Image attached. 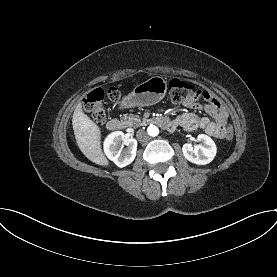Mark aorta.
<instances>
[{
    "label": "aorta",
    "instance_id": "aorta-1",
    "mask_svg": "<svg viewBox=\"0 0 277 277\" xmlns=\"http://www.w3.org/2000/svg\"><path fill=\"white\" fill-rule=\"evenodd\" d=\"M147 131H148V134L150 135V136H157L158 134H159V129H158V127H156V126H154V125H150L149 127H148V129H147Z\"/></svg>",
    "mask_w": 277,
    "mask_h": 277
}]
</instances>
